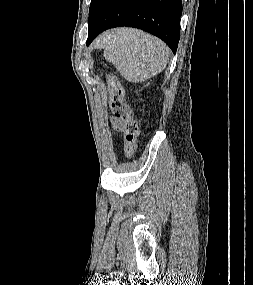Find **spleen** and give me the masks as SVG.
Listing matches in <instances>:
<instances>
[{
	"label": "spleen",
	"instance_id": "1",
	"mask_svg": "<svg viewBox=\"0 0 253 285\" xmlns=\"http://www.w3.org/2000/svg\"><path fill=\"white\" fill-rule=\"evenodd\" d=\"M104 58L129 82L139 83L160 73L170 50L160 39L136 29H118L103 39Z\"/></svg>",
	"mask_w": 253,
	"mask_h": 285
}]
</instances>
